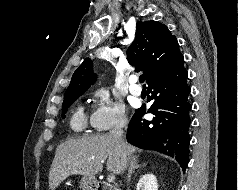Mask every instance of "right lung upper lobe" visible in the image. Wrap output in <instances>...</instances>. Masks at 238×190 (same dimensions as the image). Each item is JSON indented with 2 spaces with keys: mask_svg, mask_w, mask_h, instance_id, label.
<instances>
[{
  "mask_svg": "<svg viewBox=\"0 0 238 190\" xmlns=\"http://www.w3.org/2000/svg\"><path fill=\"white\" fill-rule=\"evenodd\" d=\"M135 35L127 50V58L131 65L136 66V71H143L147 84L183 59L177 39L164 24L153 20L139 21ZM92 69L91 59L86 58L74 72L65 96L83 94L95 80Z\"/></svg>",
  "mask_w": 238,
  "mask_h": 190,
  "instance_id": "obj_1",
  "label": "right lung upper lobe"
}]
</instances>
